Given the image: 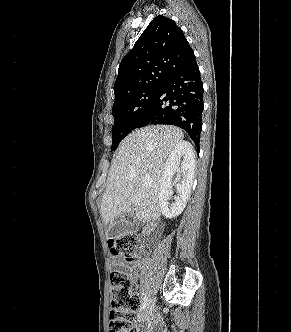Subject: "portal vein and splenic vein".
Returning <instances> with one entry per match:
<instances>
[{
    "mask_svg": "<svg viewBox=\"0 0 291 332\" xmlns=\"http://www.w3.org/2000/svg\"><path fill=\"white\" fill-rule=\"evenodd\" d=\"M133 202L135 204H139L140 203V199L138 197H133Z\"/></svg>",
    "mask_w": 291,
    "mask_h": 332,
    "instance_id": "obj_1",
    "label": "portal vein and splenic vein"
}]
</instances>
